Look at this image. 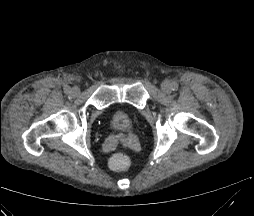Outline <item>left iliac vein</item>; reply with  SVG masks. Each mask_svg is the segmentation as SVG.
Returning a JSON list of instances; mask_svg holds the SVG:
<instances>
[{
	"instance_id": "obj_1",
	"label": "left iliac vein",
	"mask_w": 254,
	"mask_h": 216,
	"mask_svg": "<svg viewBox=\"0 0 254 216\" xmlns=\"http://www.w3.org/2000/svg\"><path fill=\"white\" fill-rule=\"evenodd\" d=\"M161 90L165 93V94H169L171 92V86L169 84V82L164 81L161 84Z\"/></svg>"
}]
</instances>
